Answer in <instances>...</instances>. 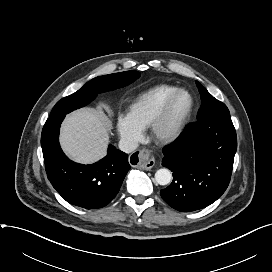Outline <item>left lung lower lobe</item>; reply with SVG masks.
<instances>
[{
  "label": "left lung lower lobe",
  "mask_w": 272,
  "mask_h": 272,
  "mask_svg": "<svg viewBox=\"0 0 272 272\" xmlns=\"http://www.w3.org/2000/svg\"><path fill=\"white\" fill-rule=\"evenodd\" d=\"M237 149L230 114L190 124L164 148L162 165L173 181L161 197L178 211H195L215 202L227 189Z\"/></svg>",
  "instance_id": "1"
}]
</instances>
